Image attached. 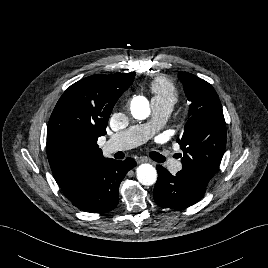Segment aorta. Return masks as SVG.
<instances>
[{
	"label": "aorta",
	"mask_w": 268,
	"mask_h": 268,
	"mask_svg": "<svg viewBox=\"0 0 268 268\" xmlns=\"http://www.w3.org/2000/svg\"><path fill=\"white\" fill-rule=\"evenodd\" d=\"M150 105L144 96H136L131 101V114L135 119L144 120L150 115ZM137 179L143 185H153L157 179L156 169L148 164H141L137 168Z\"/></svg>",
	"instance_id": "1"
}]
</instances>
